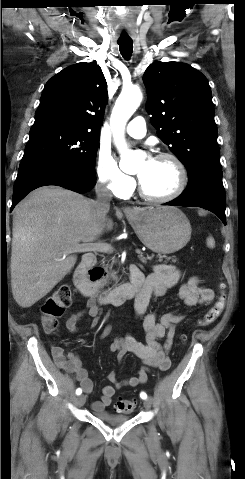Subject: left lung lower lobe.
<instances>
[{"label":"left lung lower lobe","instance_id":"1","mask_svg":"<svg viewBox=\"0 0 245 479\" xmlns=\"http://www.w3.org/2000/svg\"><path fill=\"white\" fill-rule=\"evenodd\" d=\"M188 178L185 191L165 205L201 207L216 214L226 225V198L220 165L205 166Z\"/></svg>","mask_w":245,"mask_h":479}]
</instances>
